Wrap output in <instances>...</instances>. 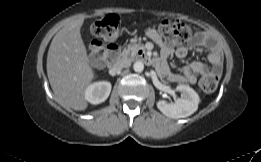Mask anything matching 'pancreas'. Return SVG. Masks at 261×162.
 <instances>
[{
  "label": "pancreas",
  "mask_w": 261,
  "mask_h": 162,
  "mask_svg": "<svg viewBox=\"0 0 261 162\" xmlns=\"http://www.w3.org/2000/svg\"><path fill=\"white\" fill-rule=\"evenodd\" d=\"M140 50H142V52L145 53V48L142 44L140 43L129 44L127 48L123 50L122 57L134 59Z\"/></svg>",
  "instance_id": "obj_1"
}]
</instances>
